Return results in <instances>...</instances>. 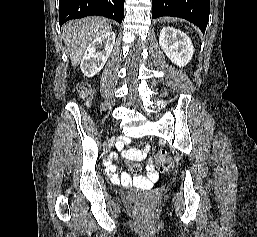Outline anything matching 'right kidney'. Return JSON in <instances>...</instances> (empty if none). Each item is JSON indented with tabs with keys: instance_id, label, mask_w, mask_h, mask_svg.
<instances>
[{
	"instance_id": "right-kidney-1",
	"label": "right kidney",
	"mask_w": 257,
	"mask_h": 237,
	"mask_svg": "<svg viewBox=\"0 0 257 237\" xmlns=\"http://www.w3.org/2000/svg\"><path fill=\"white\" fill-rule=\"evenodd\" d=\"M115 44V33L108 31L96 39L86 48L82 60L81 70L87 77H93L103 69ZM98 49H102L99 51Z\"/></svg>"
}]
</instances>
